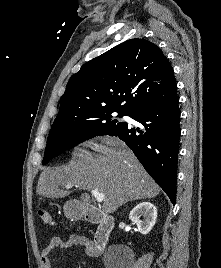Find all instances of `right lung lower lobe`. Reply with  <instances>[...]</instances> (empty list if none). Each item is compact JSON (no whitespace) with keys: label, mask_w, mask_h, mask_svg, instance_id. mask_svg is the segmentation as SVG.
<instances>
[{"label":"right lung lower lobe","mask_w":221,"mask_h":268,"mask_svg":"<svg viewBox=\"0 0 221 268\" xmlns=\"http://www.w3.org/2000/svg\"><path fill=\"white\" fill-rule=\"evenodd\" d=\"M130 117L141 126L134 127L125 123L107 135L117 136L128 145L175 204L181 133L179 97L144 107Z\"/></svg>","instance_id":"obj_1"}]
</instances>
